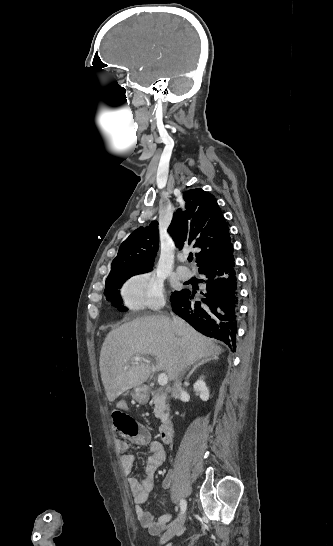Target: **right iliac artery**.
<instances>
[{
	"mask_svg": "<svg viewBox=\"0 0 333 546\" xmlns=\"http://www.w3.org/2000/svg\"><path fill=\"white\" fill-rule=\"evenodd\" d=\"M186 507H187V503H186V501L184 499H182L180 501V508H181V514L180 515L184 514V512L186 511ZM175 521H173L169 526H171Z\"/></svg>",
	"mask_w": 333,
	"mask_h": 546,
	"instance_id": "82829eb1",
	"label": "right iliac artery"
}]
</instances>
